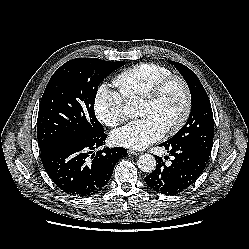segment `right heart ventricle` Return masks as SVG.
Here are the masks:
<instances>
[{
    "label": "right heart ventricle",
    "instance_id": "obj_1",
    "mask_svg": "<svg viewBox=\"0 0 249 249\" xmlns=\"http://www.w3.org/2000/svg\"><path fill=\"white\" fill-rule=\"evenodd\" d=\"M172 75V71L155 63H140L118 74L114 85L123 99L141 97L155 83Z\"/></svg>",
    "mask_w": 249,
    "mask_h": 249
}]
</instances>
